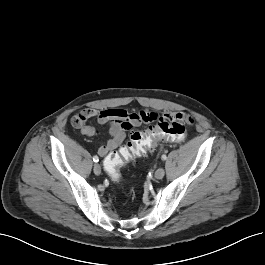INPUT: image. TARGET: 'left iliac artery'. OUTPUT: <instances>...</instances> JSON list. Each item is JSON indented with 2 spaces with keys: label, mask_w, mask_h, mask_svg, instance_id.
I'll use <instances>...</instances> for the list:
<instances>
[{
  "label": "left iliac artery",
  "mask_w": 265,
  "mask_h": 265,
  "mask_svg": "<svg viewBox=\"0 0 265 265\" xmlns=\"http://www.w3.org/2000/svg\"><path fill=\"white\" fill-rule=\"evenodd\" d=\"M161 158H162V160H166L167 157H166V155H162Z\"/></svg>",
  "instance_id": "obj_1"
}]
</instances>
